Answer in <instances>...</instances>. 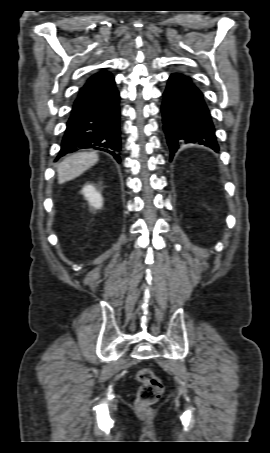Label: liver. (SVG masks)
Masks as SVG:
<instances>
[{"label":"liver","instance_id":"1","mask_svg":"<svg viewBox=\"0 0 270 453\" xmlns=\"http://www.w3.org/2000/svg\"><path fill=\"white\" fill-rule=\"evenodd\" d=\"M95 152H77L67 156L57 167L58 183L70 181L98 162Z\"/></svg>","mask_w":270,"mask_h":453}]
</instances>
